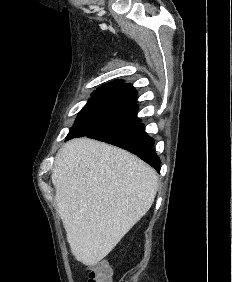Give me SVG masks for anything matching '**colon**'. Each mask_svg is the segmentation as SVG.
<instances>
[{
	"label": "colon",
	"mask_w": 232,
	"mask_h": 282,
	"mask_svg": "<svg viewBox=\"0 0 232 282\" xmlns=\"http://www.w3.org/2000/svg\"><path fill=\"white\" fill-rule=\"evenodd\" d=\"M86 282H112L109 264L101 261L92 266L88 271Z\"/></svg>",
	"instance_id": "1"
}]
</instances>
